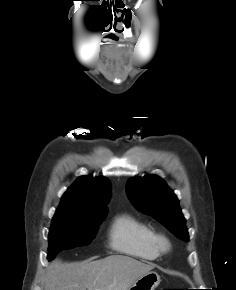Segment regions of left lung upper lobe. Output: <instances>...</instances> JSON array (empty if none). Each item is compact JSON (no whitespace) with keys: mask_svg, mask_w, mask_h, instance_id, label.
I'll list each match as a JSON object with an SVG mask.
<instances>
[{"mask_svg":"<svg viewBox=\"0 0 236 290\" xmlns=\"http://www.w3.org/2000/svg\"><path fill=\"white\" fill-rule=\"evenodd\" d=\"M126 192L133 205L141 212L158 220L177 238L189 241L179 201L160 177L149 175L131 178L127 181Z\"/></svg>","mask_w":236,"mask_h":290,"instance_id":"5c2ea615","label":"left lung upper lobe"}]
</instances>
